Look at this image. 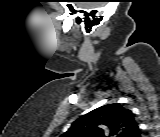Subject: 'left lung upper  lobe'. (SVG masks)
Masks as SVG:
<instances>
[{
  "mask_svg": "<svg viewBox=\"0 0 160 137\" xmlns=\"http://www.w3.org/2000/svg\"><path fill=\"white\" fill-rule=\"evenodd\" d=\"M138 130L130 110L107 104L77 119L63 137H135Z\"/></svg>",
  "mask_w": 160,
  "mask_h": 137,
  "instance_id": "obj_1",
  "label": "left lung upper lobe"
}]
</instances>
